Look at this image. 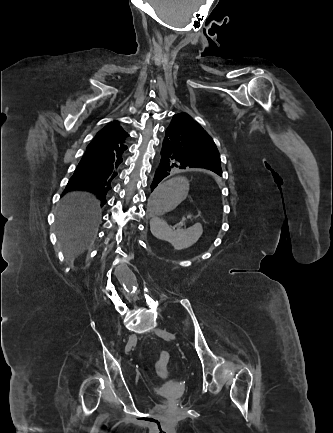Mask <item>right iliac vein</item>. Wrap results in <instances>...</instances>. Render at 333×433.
<instances>
[{"label":"right iliac vein","instance_id":"63e3f726","mask_svg":"<svg viewBox=\"0 0 333 433\" xmlns=\"http://www.w3.org/2000/svg\"><path fill=\"white\" fill-rule=\"evenodd\" d=\"M136 342H137V336L135 334H130L126 345V348H128L127 352H129L132 349V347L136 344Z\"/></svg>","mask_w":333,"mask_h":433}]
</instances>
